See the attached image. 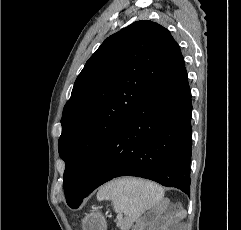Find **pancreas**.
<instances>
[{
	"label": "pancreas",
	"instance_id": "1",
	"mask_svg": "<svg viewBox=\"0 0 241 230\" xmlns=\"http://www.w3.org/2000/svg\"><path fill=\"white\" fill-rule=\"evenodd\" d=\"M117 225L120 227L121 230H128L130 227V223L127 219H121L118 221Z\"/></svg>",
	"mask_w": 241,
	"mask_h": 230
}]
</instances>
